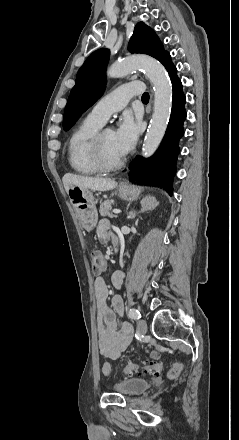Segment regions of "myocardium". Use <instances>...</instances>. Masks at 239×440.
<instances>
[{
  "label": "myocardium",
  "mask_w": 239,
  "mask_h": 440,
  "mask_svg": "<svg viewBox=\"0 0 239 440\" xmlns=\"http://www.w3.org/2000/svg\"><path fill=\"white\" fill-rule=\"evenodd\" d=\"M106 129H99L92 137L89 145V153L92 162L99 171L113 172L118 170L125 162L126 156L122 155L110 163L106 159L102 147V136Z\"/></svg>",
  "instance_id": "obj_1"
}]
</instances>
